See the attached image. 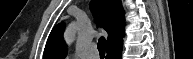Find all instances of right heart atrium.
Returning a JSON list of instances; mask_svg holds the SVG:
<instances>
[{"label": "right heart atrium", "instance_id": "1", "mask_svg": "<svg viewBox=\"0 0 193 59\" xmlns=\"http://www.w3.org/2000/svg\"><path fill=\"white\" fill-rule=\"evenodd\" d=\"M65 59H71V58H69V57H66Z\"/></svg>", "mask_w": 193, "mask_h": 59}]
</instances>
